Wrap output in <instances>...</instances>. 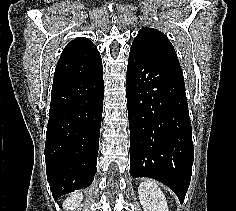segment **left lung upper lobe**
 Here are the masks:
<instances>
[{
	"label": "left lung upper lobe",
	"instance_id": "5c2ea615",
	"mask_svg": "<svg viewBox=\"0 0 236 211\" xmlns=\"http://www.w3.org/2000/svg\"><path fill=\"white\" fill-rule=\"evenodd\" d=\"M130 52L181 69L173 45L166 35L156 29L142 28L134 39Z\"/></svg>",
	"mask_w": 236,
	"mask_h": 211
}]
</instances>
